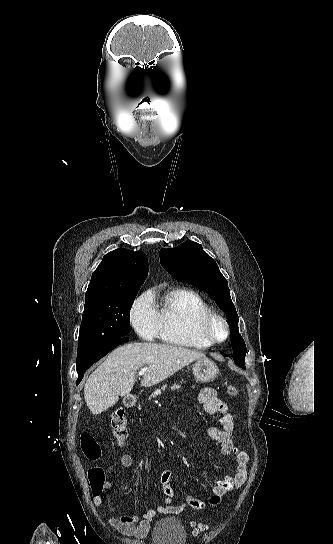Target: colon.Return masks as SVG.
I'll use <instances>...</instances> for the list:
<instances>
[{
	"label": "colon",
	"instance_id": "colon-1",
	"mask_svg": "<svg viewBox=\"0 0 333 544\" xmlns=\"http://www.w3.org/2000/svg\"><path fill=\"white\" fill-rule=\"evenodd\" d=\"M226 390L230 397H236L238 390L231 384H226ZM113 435L119 444H122L127 435V418L125 410L122 407L117 408L110 418ZM81 448L90 461H97L101 456L100 446L96 440L88 433L81 435ZM88 479L93 492H99L106 483V473L103 468L93 466L88 470ZM191 527L195 534H199L207 529V525L197 522H191Z\"/></svg>",
	"mask_w": 333,
	"mask_h": 544
}]
</instances>
